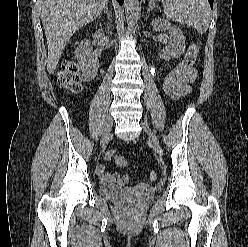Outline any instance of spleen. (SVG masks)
<instances>
[{"label":"spleen","instance_id":"1","mask_svg":"<svg viewBox=\"0 0 248 247\" xmlns=\"http://www.w3.org/2000/svg\"><path fill=\"white\" fill-rule=\"evenodd\" d=\"M166 17L206 33L210 23L208 0H161Z\"/></svg>","mask_w":248,"mask_h":247}]
</instances>
